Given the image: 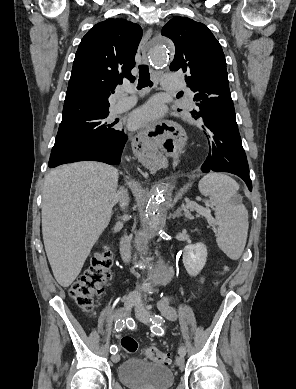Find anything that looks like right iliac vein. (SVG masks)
<instances>
[{
  "label": "right iliac vein",
  "instance_id": "right-iliac-vein-1",
  "mask_svg": "<svg viewBox=\"0 0 296 389\" xmlns=\"http://www.w3.org/2000/svg\"><path fill=\"white\" fill-rule=\"evenodd\" d=\"M137 301V298L134 294L132 293H129L128 295H126L124 298H123V302H124V315H127L128 312L131 310V308L134 306V304L136 303ZM112 361L114 363H117L119 360H120V355L119 354H114L112 357H111Z\"/></svg>",
  "mask_w": 296,
  "mask_h": 389
}]
</instances>
